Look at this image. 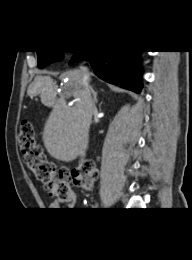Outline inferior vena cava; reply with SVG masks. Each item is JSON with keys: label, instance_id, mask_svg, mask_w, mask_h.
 <instances>
[{"label": "inferior vena cava", "instance_id": "1", "mask_svg": "<svg viewBox=\"0 0 192 260\" xmlns=\"http://www.w3.org/2000/svg\"><path fill=\"white\" fill-rule=\"evenodd\" d=\"M81 70L83 72V81L84 85L87 91V95L90 97V87H89V70L87 67H81ZM92 107L94 109V105L92 103Z\"/></svg>", "mask_w": 192, "mask_h": 260}]
</instances>
